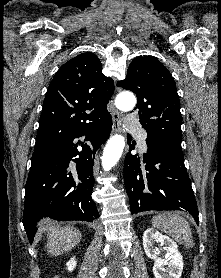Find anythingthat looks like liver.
Returning a JSON list of instances; mask_svg holds the SVG:
<instances>
[{
    "label": "liver",
    "mask_w": 221,
    "mask_h": 278,
    "mask_svg": "<svg viewBox=\"0 0 221 278\" xmlns=\"http://www.w3.org/2000/svg\"><path fill=\"white\" fill-rule=\"evenodd\" d=\"M48 230L47 252L52 256H58L72 250L81 240V232L72 226L59 227L51 220L43 221Z\"/></svg>",
    "instance_id": "liver-1"
}]
</instances>
